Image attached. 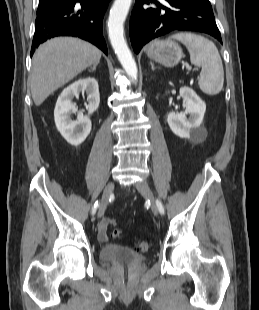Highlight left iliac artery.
I'll return each instance as SVG.
<instances>
[{
	"mask_svg": "<svg viewBox=\"0 0 259 310\" xmlns=\"http://www.w3.org/2000/svg\"><path fill=\"white\" fill-rule=\"evenodd\" d=\"M156 203H157V207H158L159 212L161 214H164V207H163L162 203L159 200H157Z\"/></svg>",
	"mask_w": 259,
	"mask_h": 310,
	"instance_id": "1",
	"label": "left iliac artery"
}]
</instances>
